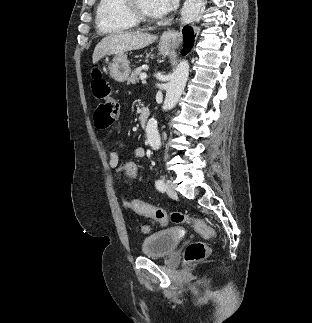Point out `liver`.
Wrapping results in <instances>:
<instances>
[{"instance_id": "obj_1", "label": "liver", "mask_w": 312, "mask_h": 323, "mask_svg": "<svg viewBox=\"0 0 312 323\" xmlns=\"http://www.w3.org/2000/svg\"><path fill=\"white\" fill-rule=\"evenodd\" d=\"M156 36L151 34H140V32H118V34H108L97 44L93 56V64H97L104 56H122L124 52L130 50H141L149 44L155 42Z\"/></svg>"}]
</instances>
